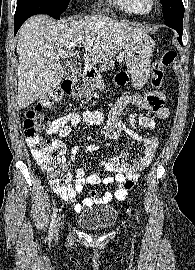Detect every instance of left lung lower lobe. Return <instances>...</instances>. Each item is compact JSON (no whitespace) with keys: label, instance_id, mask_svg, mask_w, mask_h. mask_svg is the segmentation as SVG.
Masks as SVG:
<instances>
[{"label":"left lung lower lobe","instance_id":"1","mask_svg":"<svg viewBox=\"0 0 195 270\" xmlns=\"http://www.w3.org/2000/svg\"><path fill=\"white\" fill-rule=\"evenodd\" d=\"M174 29L177 31L178 33V41L179 43L182 45V33H183V26L182 27H174Z\"/></svg>","mask_w":195,"mask_h":270}]
</instances>
